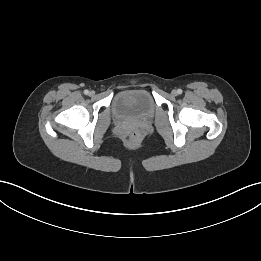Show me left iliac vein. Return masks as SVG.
<instances>
[{
    "mask_svg": "<svg viewBox=\"0 0 261 261\" xmlns=\"http://www.w3.org/2000/svg\"><path fill=\"white\" fill-rule=\"evenodd\" d=\"M171 94H172L173 96H176V95H177V91H176V90H172Z\"/></svg>",
    "mask_w": 261,
    "mask_h": 261,
    "instance_id": "1",
    "label": "left iliac vein"
}]
</instances>
